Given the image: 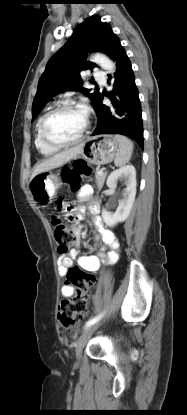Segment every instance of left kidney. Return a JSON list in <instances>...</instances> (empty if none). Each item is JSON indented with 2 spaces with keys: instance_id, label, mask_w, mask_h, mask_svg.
Returning a JSON list of instances; mask_svg holds the SVG:
<instances>
[{
  "instance_id": "1",
  "label": "left kidney",
  "mask_w": 187,
  "mask_h": 415,
  "mask_svg": "<svg viewBox=\"0 0 187 415\" xmlns=\"http://www.w3.org/2000/svg\"><path fill=\"white\" fill-rule=\"evenodd\" d=\"M122 180L126 185L123 191V198L119 200V205L115 213L108 212L107 209L102 210V218L109 227L115 226L119 222L125 221L132 209L136 196V170L132 165H126L120 169L114 170L107 178V186L110 189L117 187V181Z\"/></svg>"
}]
</instances>
